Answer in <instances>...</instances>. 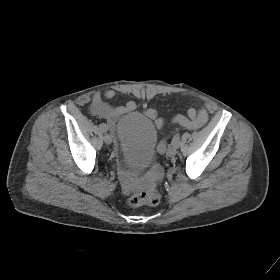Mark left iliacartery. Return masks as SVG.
Listing matches in <instances>:
<instances>
[{"mask_svg":"<svg viewBox=\"0 0 280 280\" xmlns=\"http://www.w3.org/2000/svg\"><path fill=\"white\" fill-rule=\"evenodd\" d=\"M179 144H180V136L179 134H175L173 136V139H172V142H171V145L175 148H178L179 147Z\"/></svg>","mask_w":280,"mask_h":280,"instance_id":"left-iliac-artery-1","label":"left iliac artery"}]
</instances>
